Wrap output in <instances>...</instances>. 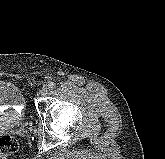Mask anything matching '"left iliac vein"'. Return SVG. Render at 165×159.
<instances>
[{
  "label": "left iliac vein",
  "instance_id": "left-iliac-vein-1",
  "mask_svg": "<svg viewBox=\"0 0 165 159\" xmlns=\"http://www.w3.org/2000/svg\"><path fill=\"white\" fill-rule=\"evenodd\" d=\"M48 91H49V86L48 85H44L42 87V89H41V92H40L41 96L45 97L48 94Z\"/></svg>",
  "mask_w": 165,
  "mask_h": 159
}]
</instances>
